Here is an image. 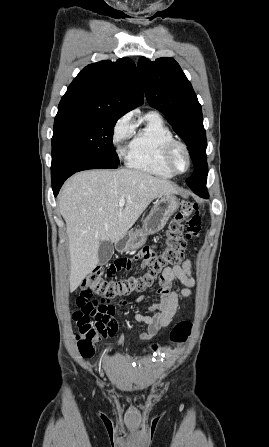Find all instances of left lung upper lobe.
Instances as JSON below:
<instances>
[{
  "label": "left lung upper lobe",
  "instance_id": "1",
  "mask_svg": "<svg viewBox=\"0 0 269 447\" xmlns=\"http://www.w3.org/2000/svg\"><path fill=\"white\" fill-rule=\"evenodd\" d=\"M138 71L151 107L162 112L183 139L195 167L186 180L191 189L205 187L208 165L206 132L200 103L179 64L169 57L151 62L141 57Z\"/></svg>",
  "mask_w": 269,
  "mask_h": 447
}]
</instances>
